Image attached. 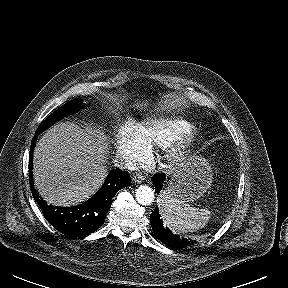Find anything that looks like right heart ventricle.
Returning a JSON list of instances; mask_svg holds the SVG:
<instances>
[{
	"label": "right heart ventricle",
	"instance_id": "e07e8e85",
	"mask_svg": "<svg viewBox=\"0 0 288 288\" xmlns=\"http://www.w3.org/2000/svg\"><path fill=\"white\" fill-rule=\"evenodd\" d=\"M190 126L191 123L180 116H157L147 119L139 129L149 147H166Z\"/></svg>",
	"mask_w": 288,
	"mask_h": 288
}]
</instances>
